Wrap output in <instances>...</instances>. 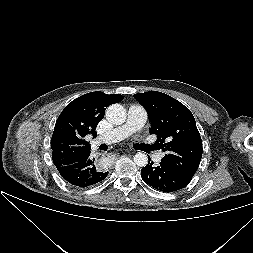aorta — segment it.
I'll return each instance as SVG.
<instances>
[{"label": "aorta", "mask_w": 253, "mask_h": 253, "mask_svg": "<svg viewBox=\"0 0 253 253\" xmlns=\"http://www.w3.org/2000/svg\"><path fill=\"white\" fill-rule=\"evenodd\" d=\"M106 119L116 125H121L126 120V110L120 104H112L106 110ZM134 162L139 167H144L148 163L146 154L138 152L134 156Z\"/></svg>", "instance_id": "1"}]
</instances>
